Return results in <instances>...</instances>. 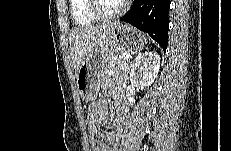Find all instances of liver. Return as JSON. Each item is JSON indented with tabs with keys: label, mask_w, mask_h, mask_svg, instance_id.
I'll return each instance as SVG.
<instances>
[{
	"label": "liver",
	"mask_w": 231,
	"mask_h": 151,
	"mask_svg": "<svg viewBox=\"0 0 231 151\" xmlns=\"http://www.w3.org/2000/svg\"><path fill=\"white\" fill-rule=\"evenodd\" d=\"M118 22L96 26L75 27L69 35L71 57L77 78L83 61L94 52L103 49L111 40Z\"/></svg>",
	"instance_id": "liver-1"
}]
</instances>
